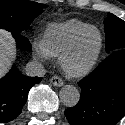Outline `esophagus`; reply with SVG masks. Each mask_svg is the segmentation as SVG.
I'll return each instance as SVG.
<instances>
[{
	"instance_id": "1",
	"label": "esophagus",
	"mask_w": 125,
	"mask_h": 125,
	"mask_svg": "<svg viewBox=\"0 0 125 125\" xmlns=\"http://www.w3.org/2000/svg\"><path fill=\"white\" fill-rule=\"evenodd\" d=\"M50 82L57 87H61L64 84L63 80L59 76H53L50 79Z\"/></svg>"
}]
</instances>
